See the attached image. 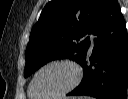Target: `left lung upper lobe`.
<instances>
[{
  "mask_svg": "<svg viewBox=\"0 0 128 99\" xmlns=\"http://www.w3.org/2000/svg\"><path fill=\"white\" fill-rule=\"evenodd\" d=\"M108 0H52L34 25L26 49L24 76L55 59L79 63Z\"/></svg>",
  "mask_w": 128,
  "mask_h": 99,
  "instance_id": "5c2ea615",
  "label": "left lung upper lobe"
}]
</instances>
